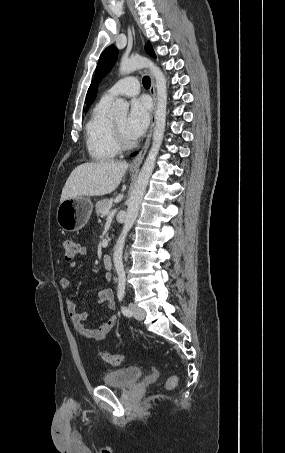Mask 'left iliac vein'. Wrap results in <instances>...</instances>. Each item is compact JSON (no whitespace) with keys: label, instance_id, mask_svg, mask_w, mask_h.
Returning a JSON list of instances; mask_svg holds the SVG:
<instances>
[{"label":"left iliac vein","instance_id":"obj_1","mask_svg":"<svg viewBox=\"0 0 285 453\" xmlns=\"http://www.w3.org/2000/svg\"><path fill=\"white\" fill-rule=\"evenodd\" d=\"M129 308L135 319L141 321L145 318V311L142 308H140L139 306H137L136 304L130 303Z\"/></svg>","mask_w":285,"mask_h":453}]
</instances>
